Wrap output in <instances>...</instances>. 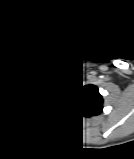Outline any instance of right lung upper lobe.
<instances>
[{"label": "right lung upper lobe", "mask_w": 134, "mask_h": 159, "mask_svg": "<svg viewBox=\"0 0 134 159\" xmlns=\"http://www.w3.org/2000/svg\"><path fill=\"white\" fill-rule=\"evenodd\" d=\"M41 96V92L36 88H31L27 90L25 97L21 98V103L24 106H33Z\"/></svg>", "instance_id": "cb5924a9"}]
</instances>
